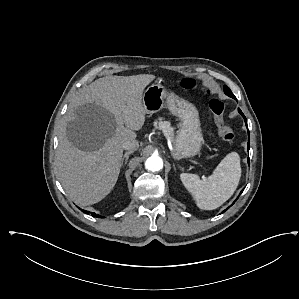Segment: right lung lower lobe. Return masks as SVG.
I'll return each mask as SVG.
<instances>
[{
  "label": "right lung lower lobe",
  "mask_w": 299,
  "mask_h": 299,
  "mask_svg": "<svg viewBox=\"0 0 299 299\" xmlns=\"http://www.w3.org/2000/svg\"><path fill=\"white\" fill-rule=\"evenodd\" d=\"M86 213H88V212H86ZM91 215H92L93 217L103 218V217L100 216V215H95V213H93V212H91Z\"/></svg>",
  "instance_id": "98d812e1"
}]
</instances>
